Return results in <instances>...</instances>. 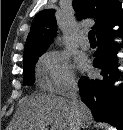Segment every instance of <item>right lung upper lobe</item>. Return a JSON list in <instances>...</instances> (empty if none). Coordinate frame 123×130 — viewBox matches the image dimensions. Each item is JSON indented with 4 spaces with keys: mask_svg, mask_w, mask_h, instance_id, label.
Here are the masks:
<instances>
[{
    "mask_svg": "<svg viewBox=\"0 0 123 130\" xmlns=\"http://www.w3.org/2000/svg\"><path fill=\"white\" fill-rule=\"evenodd\" d=\"M73 7L80 18L97 20L93 26L96 35L123 21V9L118 0H73ZM54 13V9H45L34 17L25 43L24 57L47 50L56 33Z\"/></svg>",
    "mask_w": 123,
    "mask_h": 130,
    "instance_id": "cb5924a9",
    "label": "right lung upper lobe"
}]
</instances>
